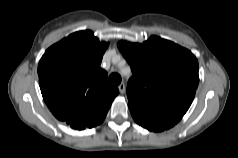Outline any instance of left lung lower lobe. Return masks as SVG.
<instances>
[{
	"mask_svg": "<svg viewBox=\"0 0 238 158\" xmlns=\"http://www.w3.org/2000/svg\"><path fill=\"white\" fill-rule=\"evenodd\" d=\"M136 123L150 131H164L174 126L182 118V114L148 115L130 108Z\"/></svg>",
	"mask_w": 238,
	"mask_h": 158,
	"instance_id": "1",
	"label": "left lung lower lobe"
}]
</instances>
